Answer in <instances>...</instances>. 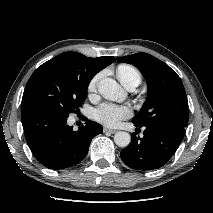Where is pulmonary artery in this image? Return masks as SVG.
I'll return each instance as SVG.
<instances>
[{
	"label": "pulmonary artery",
	"instance_id": "pulmonary-artery-1",
	"mask_svg": "<svg viewBox=\"0 0 213 213\" xmlns=\"http://www.w3.org/2000/svg\"><path fill=\"white\" fill-rule=\"evenodd\" d=\"M138 84H139V83H138L137 81L132 80V81L128 82V83L125 85V87H126V89H128V90H130V91H133V90L137 87Z\"/></svg>",
	"mask_w": 213,
	"mask_h": 213
}]
</instances>
